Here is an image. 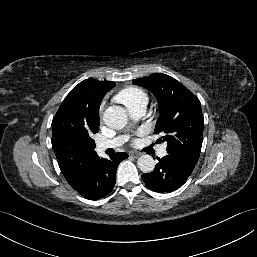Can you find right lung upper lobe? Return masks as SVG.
<instances>
[{
  "instance_id": "right-lung-upper-lobe-1",
  "label": "right lung upper lobe",
  "mask_w": 257,
  "mask_h": 257,
  "mask_svg": "<svg viewBox=\"0 0 257 257\" xmlns=\"http://www.w3.org/2000/svg\"><path fill=\"white\" fill-rule=\"evenodd\" d=\"M112 81L86 79L63 100L52 121V147L67 182L75 187L98 156L92 135L99 131V107Z\"/></svg>"
}]
</instances>
